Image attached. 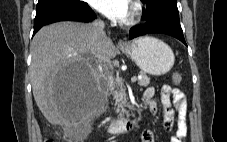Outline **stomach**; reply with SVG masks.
Listing matches in <instances>:
<instances>
[{"label":"stomach","instance_id":"obj_1","mask_svg":"<svg viewBox=\"0 0 227 142\" xmlns=\"http://www.w3.org/2000/svg\"><path fill=\"white\" fill-rule=\"evenodd\" d=\"M121 50L128 55L145 73L154 76L164 75L174 64V54L164 42L144 36L129 42Z\"/></svg>","mask_w":227,"mask_h":142}]
</instances>
